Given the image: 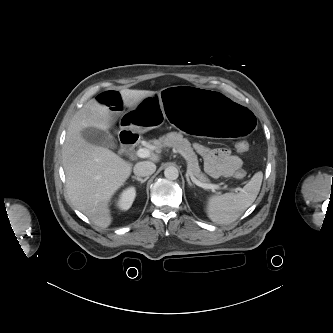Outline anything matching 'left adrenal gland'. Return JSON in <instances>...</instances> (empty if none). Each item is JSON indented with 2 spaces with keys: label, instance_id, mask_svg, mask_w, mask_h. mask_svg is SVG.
Wrapping results in <instances>:
<instances>
[{
  "label": "left adrenal gland",
  "instance_id": "left-adrenal-gland-1",
  "mask_svg": "<svg viewBox=\"0 0 333 333\" xmlns=\"http://www.w3.org/2000/svg\"><path fill=\"white\" fill-rule=\"evenodd\" d=\"M187 181H188V184L191 186V182H190V180H189V179H187Z\"/></svg>",
  "mask_w": 333,
  "mask_h": 333
}]
</instances>
